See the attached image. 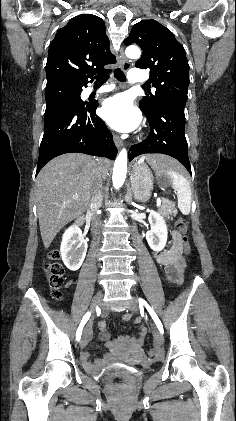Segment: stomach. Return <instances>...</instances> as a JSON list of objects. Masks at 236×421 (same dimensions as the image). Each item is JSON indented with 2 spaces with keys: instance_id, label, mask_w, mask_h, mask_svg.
<instances>
[{
  "instance_id": "1",
  "label": "stomach",
  "mask_w": 236,
  "mask_h": 421,
  "mask_svg": "<svg viewBox=\"0 0 236 421\" xmlns=\"http://www.w3.org/2000/svg\"><path fill=\"white\" fill-rule=\"evenodd\" d=\"M155 168V176L159 184H161V186H170L172 178L167 168H158V166H155ZM130 182L133 196L136 200L145 202V200L150 198L154 184V176L147 164H143V162H136V164H134L130 174Z\"/></svg>"
}]
</instances>
